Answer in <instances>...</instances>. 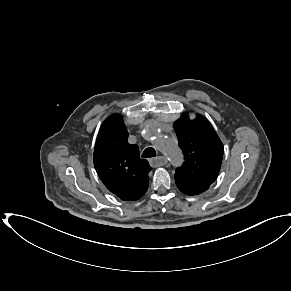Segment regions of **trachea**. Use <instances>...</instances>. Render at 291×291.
Returning <instances> with one entry per match:
<instances>
[{"mask_svg":"<svg viewBox=\"0 0 291 291\" xmlns=\"http://www.w3.org/2000/svg\"><path fill=\"white\" fill-rule=\"evenodd\" d=\"M156 156V151L154 148H146L142 154L143 158H150V157H155Z\"/></svg>","mask_w":291,"mask_h":291,"instance_id":"trachea-1","label":"trachea"}]
</instances>
